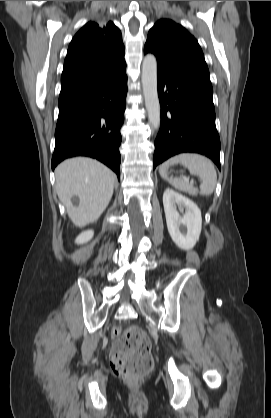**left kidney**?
<instances>
[{
  "mask_svg": "<svg viewBox=\"0 0 271 418\" xmlns=\"http://www.w3.org/2000/svg\"><path fill=\"white\" fill-rule=\"evenodd\" d=\"M163 205L168 232L181 249H192L199 240L202 217L199 207L187 197L167 188L163 194ZM185 209L181 217L178 210Z\"/></svg>",
  "mask_w": 271,
  "mask_h": 418,
  "instance_id": "obj_1",
  "label": "left kidney"
}]
</instances>
